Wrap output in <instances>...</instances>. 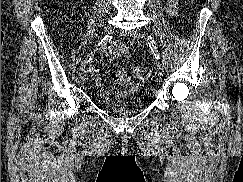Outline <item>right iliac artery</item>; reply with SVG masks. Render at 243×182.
Segmentation results:
<instances>
[{"mask_svg":"<svg viewBox=\"0 0 243 182\" xmlns=\"http://www.w3.org/2000/svg\"><path fill=\"white\" fill-rule=\"evenodd\" d=\"M112 40V35H106L103 37V39L98 43V45L89 53V55L87 56V58L82 62L81 65V70H84L86 64L91 60V58L94 56L95 52L97 50L102 49L103 47H105L108 43H110Z\"/></svg>","mask_w":243,"mask_h":182,"instance_id":"1","label":"right iliac artery"}]
</instances>
